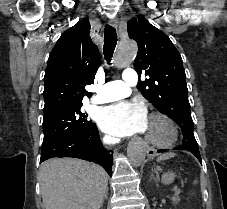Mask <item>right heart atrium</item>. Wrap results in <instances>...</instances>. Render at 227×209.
I'll list each match as a JSON object with an SVG mask.
<instances>
[{
	"label": "right heart atrium",
	"instance_id": "right-heart-atrium-1",
	"mask_svg": "<svg viewBox=\"0 0 227 209\" xmlns=\"http://www.w3.org/2000/svg\"><path fill=\"white\" fill-rule=\"evenodd\" d=\"M103 141H104V144H106L107 146H114L118 143L117 138L112 136L104 137Z\"/></svg>",
	"mask_w": 227,
	"mask_h": 209
}]
</instances>
